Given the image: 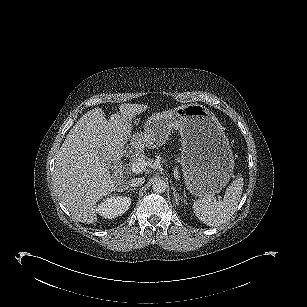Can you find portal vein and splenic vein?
Wrapping results in <instances>:
<instances>
[{
	"label": "portal vein and splenic vein",
	"instance_id": "portal-vein-and-splenic-vein-1",
	"mask_svg": "<svg viewBox=\"0 0 307 307\" xmlns=\"http://www.w3.org/2000/svg\"><path fill=\"white\" fill-rule=\"evenodd\" d=\"M146 168L145 162H136L131 165V170L134 173H140Z\"/></svg>",
	"mask_w": 307,
	"mask_h": 307
}]
</instances>
